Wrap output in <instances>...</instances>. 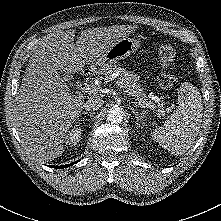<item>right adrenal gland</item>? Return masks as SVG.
Here are the masks:
<instances>
[{
    "label": "right adrenal gland",
    "mask_w": 221,
    "mask_h": 221,
    "mask_svg": "<svg viewBox=\"0 0 221 221\" xmlns=\"http://www.w3.org/2000/svg\"><path fill=\"white\" fill-rule=\"evenodd\" d=\"M94 112L93 113H88V112H82V115H87V116H91V117H93L94 116Z\"/></svg>",
    "instance_id": "right-adrenal-gland-1"
}]
</instances>
